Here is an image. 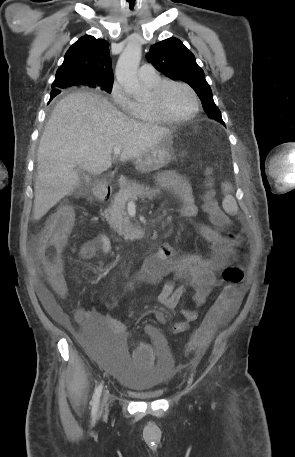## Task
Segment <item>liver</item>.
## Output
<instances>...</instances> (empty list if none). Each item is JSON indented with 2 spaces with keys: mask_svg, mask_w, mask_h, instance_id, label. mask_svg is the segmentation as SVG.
Returning a JSON list of instances; mask_svg holds the SVG:
<instances>
[{
  "mask_svg": "<svg viewBox=\"0 0 295 457\" xmlns=\"http://www.w3.org/2000/svg\"><path fill=\"white\" fill-rule=\"evenodd\" d=\"M171 134L169 128L130 119L101 95L77 92L64 97L38 148L34 219H41L79 185L77 165L97 175L111 167L115 146L121 147L119 159L126 162L145 155Z\"/></svg>",
  "mask_w": 295,
  "mask_h": 457,
  "instance_id": "obj_1",
  "label": "liver"
}]
</instances>
